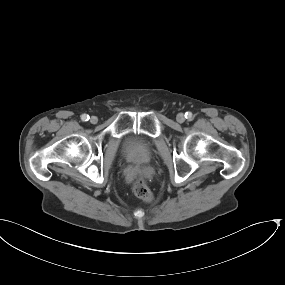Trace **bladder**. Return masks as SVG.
I'll use <instances>...</instances> for the list:
<instances>
[{
    "label": "bladder",
    "instance_id": "obj_1",
    "mask_svg": "<svg viewBox=\"0 0 285 285\" xmlns=\"http://www.w3.org/2000/svg\"><path fill=\"white\" fill-rule=\"evenodd\" d=\"M125 156L130 163H144L153 153V142L141 135L127 136L122 144Z\"/></svg>",
    "mask_w": 285,
    "mask_h": 285
}]
</instances>
